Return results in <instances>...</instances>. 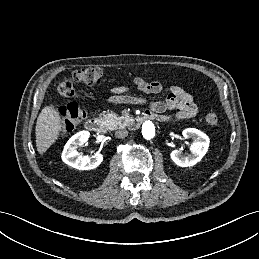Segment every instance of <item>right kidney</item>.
Wrapping results in <instances>:
<instances>
[{"instance_id":"obj_1","label":"right kidney","mask_w":259,"mask_h":259,"mask_svg":"<svg viewBox=\"0 0 259 259\" xmlns=\"http://www.w3.org/2000/svg\"><path fill=\"white\" fill-rule=\"evenodd\" d=\"M90 133L88 131H80L73 135L66 143L62 152V160L69 166L78 170H91L98 167L103 161V155L95 153L91 157L82 156L78 153L77 148L88 141Z\"/></svg>"}]
</instances>
